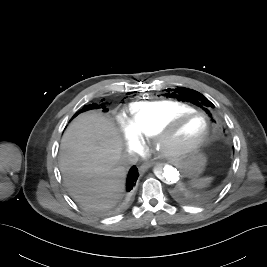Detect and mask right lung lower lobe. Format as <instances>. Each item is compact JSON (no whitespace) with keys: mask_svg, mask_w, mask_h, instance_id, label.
<instances>
[{"mask_svg":"<svg viewBox=\"0 0 267 267\" xmlns=\"http://www.w3.org/2000/svg\"><path fill=\"white\" fill-rule=\"evenodd\" d=\"M77 115L78 114H76L75 116H77ZM138 176H139V173H138L137 167L136 166H132L130 171H129L127 182H126V190H127V192H130L133 189V187L136 184V180H137Z\"/></svg>","mask_w":267,"mask_h":267,"instance_id":"right-lung-lower-lobe-1","label":"right lung lower lobe"}]
</instances>
